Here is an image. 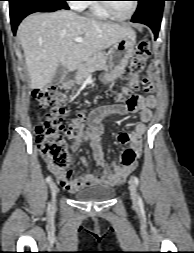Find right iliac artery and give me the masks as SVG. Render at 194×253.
Instances as JSON below:
<instances>
[{
    "label": "right iliac artery",
    "mask_w": 194,
    "mask_h": 253,
    "mask_svg": "<svg viewBox=\"0 0 194 253\" xmlns=\"http://www.w3.org/2000/svg\"><path fill=\"white\" fill-rule=\"evenodd\" d=\"M51 180H52L51 176H48V177L46 178V181H47L48 183H49Z\"/></svg>",
    "instance_id": "obj_1"
}]
</instances>
